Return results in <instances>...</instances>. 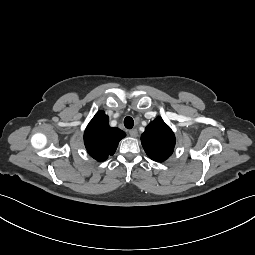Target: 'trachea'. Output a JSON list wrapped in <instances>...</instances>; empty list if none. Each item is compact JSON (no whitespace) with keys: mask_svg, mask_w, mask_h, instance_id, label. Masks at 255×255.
Segmentation results:
<instances>
[{"mask_svg":"<svg viewBox=\"0 0 255 255\" xmlns=\"http://www.w3.org/2000/svg\"><path fill=\"white\" fill-rule=\"evenodd\" d=\"M124 126H125L127 129H131V128L134 126V120L132 119V117L127 116V117L124 119Z\"/></svg>","mask_w":255,"mask_h":255,"instance_id":"1","label":"trachea"}]
</instances>
